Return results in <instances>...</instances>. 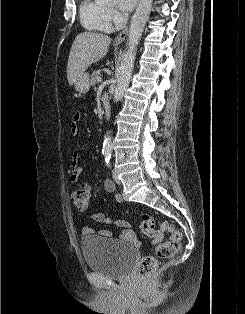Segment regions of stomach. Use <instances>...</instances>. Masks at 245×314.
I'll use <instances>...</instances> for the list:
<instances>
[{
  "label": "stomach",
  "mask_w": 245,
  "mask_h": 314,
  "mask_svg": "<svg viewBox=\"0 0 245 314\" xmlns=\"http://www.w3.org/2000/svg\"><path fill=\"white\" fill-rule=\"evenodd\" d=\"M89 74L83 73L75 82V89L80 94H85L88 92L90 87Z\"/></svg>",
  "instance_id": "stomach-1"
}]
</instances>
